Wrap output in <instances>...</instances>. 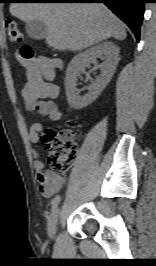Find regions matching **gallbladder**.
<instances>
[{
	"label": "gallbladder",
	"instance_id": "bac80fb5",
	"mask_svg": "<svg viewBox=\"0 0 156 266\" xmlns=\"http://www.w3.org/2000/svg\"><path fill=\"white\" fill-rule=\"evenodd\" d=\"M28 36L34 40H42L47 36V26L44 22L34 20L27 22L25 25Z\"/></svg>",
	"mask_w": 156,
	"mask_h": 266
}]
</instances>
